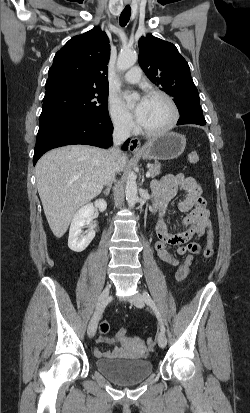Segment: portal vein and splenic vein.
Listing matches in <instances>:
<instances>
[{
	"label": "portal vein and splenic vein",
	"instance_id": "portal-vein-and-splenic-vein-1",
	"mask_svg": "<svg viewBox=\"0 0 250 413\" xmlns=\"http://www.w3.org/2000/svg\"><path fill=\"white\" fill-rule=\"evenodd\" d=\"M150 176H151V173H150V172H147V173H146V177L149 178Z\"/></svg>",
	"mask_w": 250,
	"mask_h": 413
}]
</instances>
